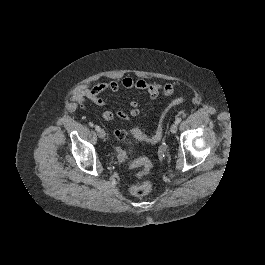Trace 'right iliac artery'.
Wrapping results in <instances>:
<instances>
[{
  "label": "right iliac artery",
  "instance_id": "82829eb1",
  "mask_svg": "<svg viewBox=\"0 0 265 265\" xmlns=\"http://www.w3.org/2000/svg\"><path fill=\"white\" fill-rule=\"evenodd\" d=\"M95 130L96 131H99L100 130V127L98 125L95 126Z\"/></svg>",
  "mask_w": 265,
  "mask_h": 265
}]
</instances>
